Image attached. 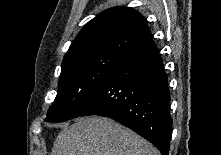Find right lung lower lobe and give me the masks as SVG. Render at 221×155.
I'll list each match as a JSON object with an SVG mask.
<instances>
[{"label": "right lung lower lobe", "mask_w": 221, "mask_h": 155, "mask_svg": "<svg viewBox=\"0 0 221 155\" xmlns=\"http://www.w3.org/2000/svg\"><path fill=\"white\" fill-rule=\"evenodd\" d=\"M167 75L150 38L130 50L113 68L80 116L119 121L168 155L172 119Z\"/></svg>", "instance_id": "98d812e1"}]
</instances>
